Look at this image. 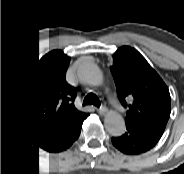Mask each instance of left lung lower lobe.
Wrapping results in <instances>:
<instances>
[{
    "label": "left lung lower lobe",
    "mask_w": 184,
    "mask_h": 174,
    "mask_svg": "<svg viewBox=\"0 0 184 174\" xmlns=\"http://www.w3.org/2000/svg\"><path fill=\"white\" fill-rule=\"evenodd\" d=\"M127 131L120 137L112 138L113 145L126 154H140L153 148L161 135L126 126Z\"/></svg>",
    "instance_id": "left-lung-lower-lobe-1"
}]
</instances>
